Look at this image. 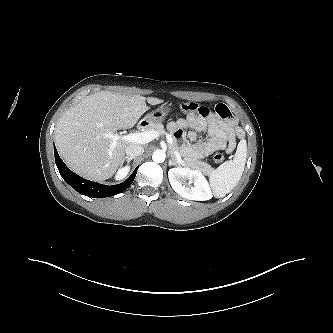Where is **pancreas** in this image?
<instances>
[{
	"instance_id": "1",
	"label": "pancreas",
	"mask_w": 333,
	"mask_h": 333,
	"mask_svg": "<svg viewBox=\"0 0 333 333\" xmlns=\"http://www.w3.org/2000/svg\"><path fill=\"white\" fill-rule=\"evenodd\" d=\"M146 131H158L160 133V136H163L166 132L164 130V126L162 123H153V124H150L146 127ZM169 148L171 150V153L174 155L175 154V148L178 149V146L176 143H174L173 145H169ZM184 164L185 166L187 167H191L193 169H196L198 171H202L204 172L205 174H208L210 173L213 168L211 167L210 164L204 162V161H200V160H197L195 158H185L184 159Z\"/></svg>"
}]
</instances>
